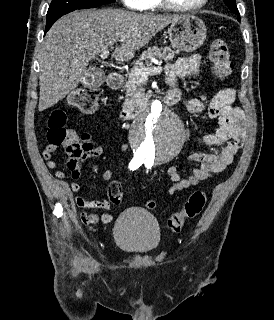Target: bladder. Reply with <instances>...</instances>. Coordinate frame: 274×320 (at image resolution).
Masks as SVG:
<instances>
[{"label":"bladder","instance_id":"bladder-1","mask_svg":"<svg viewBox=\"0 0 274 320\" xmlns=\"http://www.w3.org/2000/svg\"><path fill=\"white\" fill-rule=\"evenodd\" d=\"M113 234L117 246L129 254H147L161 241L156 219L141 208L123 211L115 222Z\"/></svg>","mask_w":274,"mask_h":320}]
</instances>
